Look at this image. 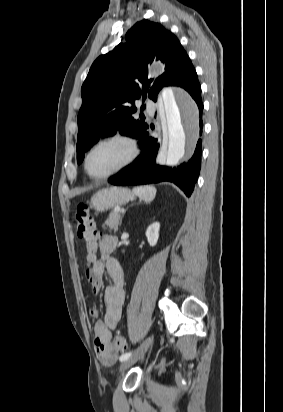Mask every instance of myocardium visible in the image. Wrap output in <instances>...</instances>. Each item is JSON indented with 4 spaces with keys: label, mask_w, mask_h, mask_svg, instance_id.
I'll use <instances>...</instances> for the list:
<instances>
[{
    "label": "myocardium",
    "mask_w": 283,
    "mask_h": 412,
    "mask_svg": "<svg viewBox=\"0 0 283 412\" xmlns=\"http://www.w3.org/2000/svg\"><path fill=\"white\" fill-rule=\"evenodd\" d=\"M111 141H122L124 143H126L129 146V155L127 157V159L121 163L119 166H117L116 168L110 170L109 172H106L104 174L101 175H95L93 173H91V171L89 170L88 167V160L89 157L91 155V153L100 145L107 143V142H111ZM140 153V146L138 141L131 136L130 134L127 133H123V132H116V133H112L109 134L107 136H104L102 138H100L99 140H97L95 143H93L90 148L87 150V152L85 153L84 156V160H83V166H84V170L87 173V175L89 177H91L92 179L95 180H102V179H106L120 171H122L123 169L127 168L128 166H130L138 157Z\"/></svg>",
    "instance_id": "obj_1"
}]
</instances>
